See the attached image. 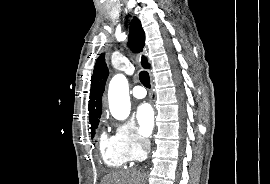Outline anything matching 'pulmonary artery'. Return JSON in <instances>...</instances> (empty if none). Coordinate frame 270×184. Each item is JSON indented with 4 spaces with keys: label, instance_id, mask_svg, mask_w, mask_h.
<instances>
[{
    "label": "pulmonary artery",
    "instance_id": "1",
    "mask_svg": "<svg viewBox=\"0 0 270 184\" xmlns=\"http://www.w3.org/2000/svg\"><path fill=\"white\" fill-rule=\"evenodd\" d=\"M132 94L137 99H143L146 96V90L138 85L133 88Z\"/></svg>",
    "mask_w": 270,
    "mask_h": 184
}]
</instances>
